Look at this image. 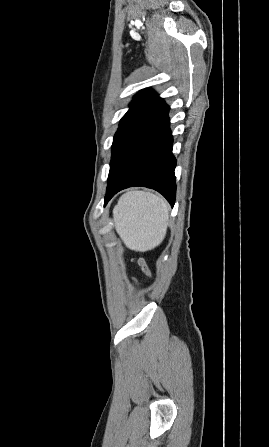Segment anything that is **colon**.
Masks as SVG:
<instances>
[{
	"instance_id": "1",
	"label": "colon",
	"mask_w": 269,
	"mask_h": 447,
	"mask_svg": "<svg viewBox=\"0 0 269 447\" xmlns=\"http://www.w3.org/2000/svg\"><path fill=\"white\" fill-rule=\"evenodd\" d=\"M137 264L139 265L141 271L147 276V277H152L153 276V272L151 270V268L147 265V263L145 262V260L143 258H137L136 259Z\"/></svg>"
}]
</instances>
